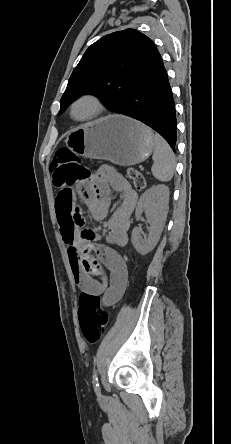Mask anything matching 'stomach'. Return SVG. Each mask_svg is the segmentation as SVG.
I'll list each match as a JSON object with an SVG mask.
<instances>
[{"instance_id":"stomach-1","label":"stomach","mask_w":231,"mask_h":444,"mask_svg":"<svg viewBox=\"0 0 231 444\" xmlns=\"http://www.w3.org/2000/svg\"><path fill=\"white\" fill-rule=\"evenodd\" d=\"M65 143L79 156L108 160L121 166L143 162L155 147L153 132L123 115H110L74 129Z\"/></svg>"}]
</instances>
